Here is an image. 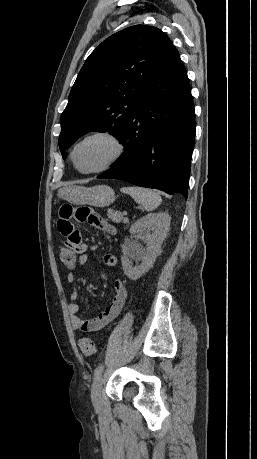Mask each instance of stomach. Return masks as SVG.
<instances>
[{
	"label": "stomach",
	"instance_id": "0dacf381",
	"mask_svg": "<svg viewBox=\"0 0 257 459\" xmlns=\"http://www.w3.org/2000/svg\"><path fill=\"white\" fill-rule=\"evenodd\" d=\"M60 198L73 204H88L95 207H106L115 200V193L107 185L93 187L69 186L59 192Z\"/></svg>",
	"mask_w": 257,
	"mask_h": 459
}]
</instances>
